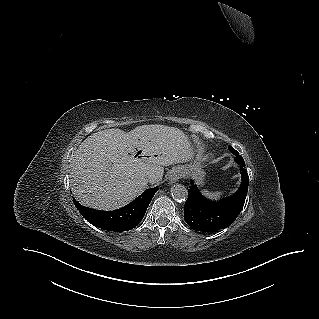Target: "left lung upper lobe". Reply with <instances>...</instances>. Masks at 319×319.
I'll return each mask as SVG.
<instances>
[{
  "mask_svg": "<svg viewBox=\"0 0 319 319\" xmlns=\"http://www.w3.org/2000/svg\"><path fill=\"white\" fill-rule=\"evenodd\" d=\"M229 150L236 156L235 157V161L238 164L244 163V159L242 158V156L231 146H229Z\"/></svg>",
  "mask_w": 319,
  "mask_h": 319,
  "instance_id": "obj_1",
  "label": "left lung upper lobe"
}]
</instances>
